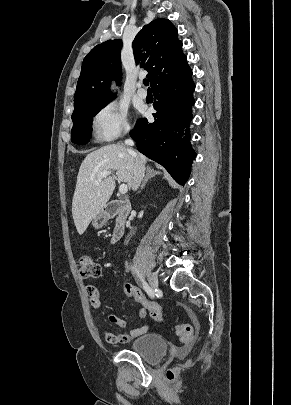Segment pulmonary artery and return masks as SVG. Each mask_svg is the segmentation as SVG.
<instances>
[{
  "label": "pulmonary artery",
  "instance_id": "pulmonary-artery-1",
  "mask_svg": "<svg viewBox=\"0 0 291 405\" xmlns=\"http://www.w3.org/2000/svg\"><path fill=\"white\" fill-rule=\"evenodd\" d=\"M137 95L141 99H145L147 97V91L143 88L142 83H138Z\"/></svg>",
  "mask_w": 291,
  "mask_h": 405
}]
</instances>
